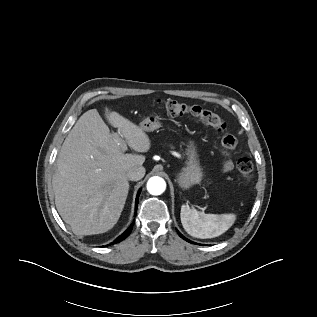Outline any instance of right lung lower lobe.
<instances>
[{"mask_svg": "<svg viewBox=\"0 0 317 317\" xmlns=\"http://www.w3.org/2000/svg\"><path fill=\"white\" fill-rule=\"evenodd\" d=\"M139 194H140V191L138 192L137 197H136L135 210H137ZM135 214H136V212H135ZM134 221H135V220H134ZM133 225H134V222L131 224V226H130L122 235H120V236H119L114 242H112L111 244H116V243L121 242L122 240H124V239L130 234V232L132 231Z\"/></svg>", "mask_w": 317, "mask_h": 317, "instance_id": "1", "label": "right lung lower lobe"}]
</instances>
